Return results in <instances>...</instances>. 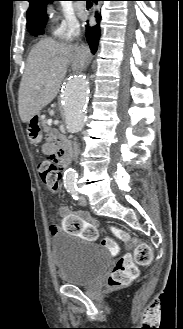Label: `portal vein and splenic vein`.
Instances as JSON below:
<instances>
[{"instance_id": "18ae733b", "label": "portal vein and splenic vein", "mask_w": 183, "mask_h": 329, "mask_svg": "<svg viewBox=\"0 0 183 329\" xmlns=\"http://www.w3.org/2000/svg\"><path fill=\"white\" fill-rule=\"evenodd\" d=\"M47 124H48V125H51V124H52V119H48V120H47Z\"/></svg>"}]
</instances>
